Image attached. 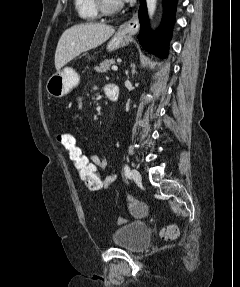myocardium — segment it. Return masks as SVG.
<instances>
[{
	"mask_svg": "<svg viewBox=\"0 0 240 287\" xmlns=\"http://www.w3.org/2000/svg\"><path fill=\"white\" fill-rule=\"evenodd\" d=\"M95 3L99 12L105 15L114 14L122 7V4L120 2H117L115 4H109L107 0H95Z\"/></svg>",
	"mask_w": 240,
	"mask_h": 287,
	"instance_id": "myocardium-1",
	"label": "myocardium"
}]
</instances>
